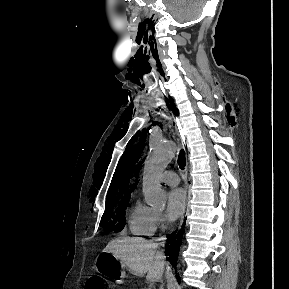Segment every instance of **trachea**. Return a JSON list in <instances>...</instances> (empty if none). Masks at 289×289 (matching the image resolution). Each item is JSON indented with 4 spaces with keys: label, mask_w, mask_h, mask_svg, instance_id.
Segmentation results:
<instances>
[{
    "label": "trachea",
    "mask_w": 289,
    "mask_h": 289,
    "mask_svg": "<svg viewBox=\"0 0 289 289\" xmlns=\"http://www.w3.org/2000/svg\"><path fill=\"white\" fill-rule=\"evenodd\" d=\"M186 164V158H185V152L184 150H180L179 156H178V165L180 167V169H184Z\"/></svg>",
    "instance_id": "trachea-1"
}]
</instances>
